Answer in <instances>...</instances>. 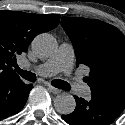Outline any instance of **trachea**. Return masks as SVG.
Masks as SVG:
<instances>
[{
	"mask_svg": "<svg viewBox=\"0 0 125 125\" xmlns=\"http://www.w3.org/2000/svg\"><path fill=\"white\" fill-rule=\"evenodd\" d=\"M15 71L24 79L30 81V82H35L36 81V75L30 71H24L22 69L19 68L18 65H15ZM51 84L56 87V88H59V89H62V90H70V85L63 81V80H60V79H55L51 82Z\"/></svg>",
	"mask_w": 125,
	"mask_h": 125,
	"instance_id": "3493384b",
	"label": "trachea"
}]
</instances>
